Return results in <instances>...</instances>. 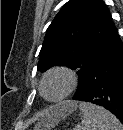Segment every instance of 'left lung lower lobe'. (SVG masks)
Returning <instances> with one entry per match:
<instances>
[{
  "label": "left lung lower lobe",
  "instance_id": "obj_1",
  "mask_svg": "<svg viewBox=\"0 0 123 130\" xmlns=\"http://www.w3.org/2000/svg\"><path fill=\"white\" fill-rule=\"evenodd\" d=\"M74 99L103 106L123 123V43L119 37L95 60Z\"/></svg>",
  "mask_w": 123,
  "mask_h": 130
}]
</instances>
